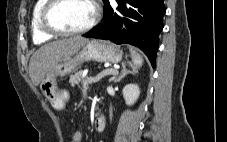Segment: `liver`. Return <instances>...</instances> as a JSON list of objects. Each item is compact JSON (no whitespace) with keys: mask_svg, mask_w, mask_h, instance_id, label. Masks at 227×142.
Listing matches in <instances>:
<instances>
[{"mask_svg":"<svg viewBox=\"0 0 227 142\" xmlns=\"http://www.w3.org/2000/svg\"><path fill=\"white\" fill-rule=\"evenodd\" d=\"M88 39L81 36L55 40L40 47L29 62V75L35 86L62 60L72 57Z\"/></svg>","mask_w":227,"mask_h":142,"instance_id":"obj_1","label":"liver"}]
</instances>
